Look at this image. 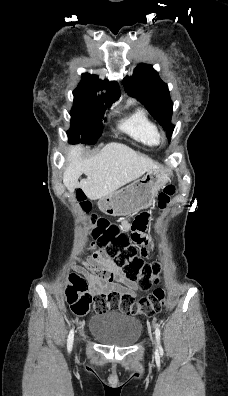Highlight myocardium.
Instances as JSON below:
<instances>
[{
    "mask_svg": "<svg viewBox=\"0 0 228 396\" xmlns=\"http://www.w3.org/2000/svg\"><path fill=\"white\" fill-rule=\"evenodd\" d=\"M163 138L159 135V141H161Z\"/></svg>",
    "mask_w": 228,
    "mask_h": 396,
    "instance_id": "myocardium-1",
    "label": "myocardium"
}]
</instances>
